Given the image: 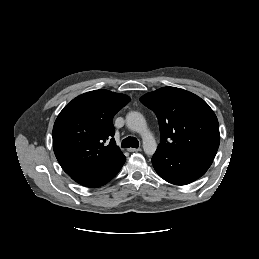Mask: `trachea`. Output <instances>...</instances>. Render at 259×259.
Instances as JSON below:
<instances>
[{
    "label": "trachea",
    "instance_id": "1",
    "mask_svg": "<svg viewBox=\"0 0 259 259\" xmlns=\"http://www.w3.org/2000/svg\"><path fill=\"white\" fill-rule=\"evenodd\" d=\"M122 148H138L139 147V141L135 137H127L122 141L121 144Z\"/></svg>",
    "mask_w": 259,
    "mask_h": 259
}]
</instances>
